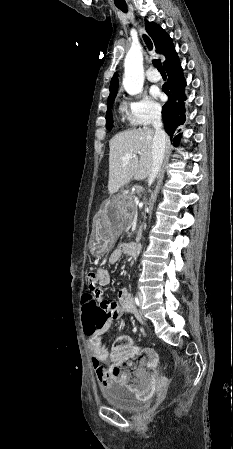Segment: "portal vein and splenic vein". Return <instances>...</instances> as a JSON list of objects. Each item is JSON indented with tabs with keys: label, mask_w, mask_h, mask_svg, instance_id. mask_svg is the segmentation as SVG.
Wrapping results in <instances>:
<instances>
[{
	"label": "portal vein and splenic vein",
	"mask_w": 233,
	"mask_h": 449,
	"mask_svg": "<svg viewBox=\"0 0 233 449\" xmlns=\"http://www.w3.org/2000/svg\"><path fill=\"white\" fill-rule=\"evenodd\" d=\"M132 158H133L132 154H127L125 157H123V162H126V161H128V160H130ZM134 201H135L136 204H138L139 199H138L137 196L134 197Z\"/></svg>",
	"instance_id": "1"
}]
</instances>
